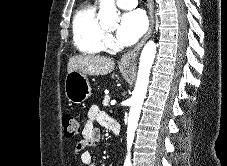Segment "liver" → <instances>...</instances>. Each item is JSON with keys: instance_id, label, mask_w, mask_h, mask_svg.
Returning a JSON list of instances; mask_svg holds the SVG:
<instances>
[{"instance_id": "obj_1", "label": "liver", "mask_w": 227, "mask_h": 166, "mask_svg": "<svg viewBox=\"0 0 227 166\" xmlns=\"http://www.w3.org/2000/svg\"><path fill=\"white\" fill-rule=\"evenodd\" d=\"M115 63L111 58L94 55H76L69 59L67 71L76 70L84 75H107L113 71Z\"/></svg>"}]
</instances>
